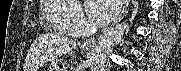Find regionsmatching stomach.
Instances as JSON below:
<instances>
[{
	"label": "stomach",
	"mask_w": 181,
	"mask_h": 71,
	"mask_svg": "<svg viewBox=\"0 0 181 71\" xmlns=\"http://www.w3.org/2000/svg\"><path fill=\"white\" fill-rule=\"evenodd\" d=\"M85 52H88L89 50L86 48H83ZM44 71H66V68L64 66L59 65L58 63L52 64L44 69Z\"/></svg>",
	"instance_id": "stomach-1"
}]
</instances>
